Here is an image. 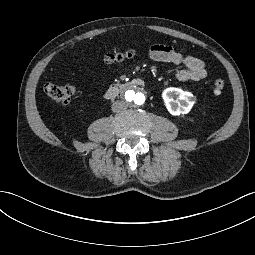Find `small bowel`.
I'll use <instances>...</instances> for the list:
<instances>
[{
  "instance_id": "small-bowel-1",
  "label": "small bowel",
  "mask_w": 255,
  "mask_h": 255,
  "mask_svg": "<svg viewBox=\"0 0 255 255\" xmlns=\"http://www.w3.org/2000/svg\"><path fill=\"white\" fill-rule=\"evenodd\" d=\"M148 56L157 62L182 64L185 66L177 72L176 77L180 81H199L207 76L206 63L184 50H175L165 43H156L149 47Z\"/></svg>"
}]
</instances>
